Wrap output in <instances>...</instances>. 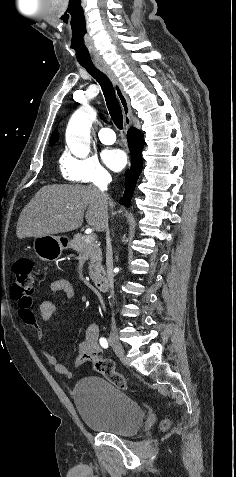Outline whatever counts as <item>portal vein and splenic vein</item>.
<instances>
[{
	"label": "portal vein and splenic vein",
	"instance_id": "portal-vein-and-splenic-vein-1",
	"mask_svg": "<svg viewBox=\"0 0 236 477\" xmlns=\"http://www.w3.org/2000/svg\"><path fill=\"white\" fill-rule=\"evenodd\" d=\"M95 239H96V234L91 233V234L86 236L85 242L89 243L91 241H94Z\"/></svg>",
	"mask_w": 236,
	"mask_h": 477
}]
</instances>
